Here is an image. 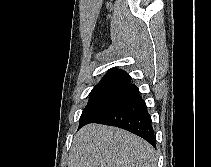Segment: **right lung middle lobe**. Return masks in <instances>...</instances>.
<instances>
[{
  "label": "right lung middle lobe",
  "instance_id": "dd1d6c3e",
  "mask_svg": "<svg viewBox=\"0 0 211 167\" xmlns=\"http://www.w3.org/2000/svg\"><path fill=\"white\" fill-rule=\"evenodd\" d=\"M131 86L130 81H100L89 94V101L80 117V125L95 118L111 103L128 91Z\"/></svg>",
  "mask_w": 211,
  "mask_h": 167
}]
</instances>
